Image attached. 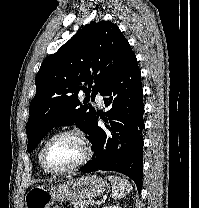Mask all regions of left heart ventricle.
Returning <instances> with one entry per match:
<instances>
[{
  "instance_id": "1",
  "label": "left heart ventricle",
  "mask_w": 199,
  "mask_h": 208,
  "mask_svg": "<svg viewBox=\"0 0 199 208\" xmlns=\"http://www.w3.org/2000/svg\"><path fill=\"white\" fill-rule=\"evenodd\" d=\"M81 143L73 136L56 138L47 150L50 165L56 169H65L77 163L83 156Z\"/></svg>"
}]
</instances>
